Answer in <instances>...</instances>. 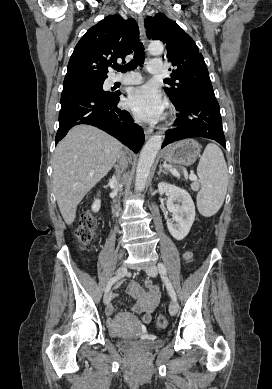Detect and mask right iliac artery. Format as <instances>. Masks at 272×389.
I'll return each mask as SVG.
<instances>
[{"instance_id":"1","label":"right iliac artery","mask_w":272,"mask_h":389,"mask_svg":"<svg viewBox=\"0 0 272 389\" xmlns=\"http://www.w3.org/2000/svg\"><path fill=\"white\" fill-rule=\"evenodd\" d=\"M119 278L118 277H113L109 280V282L107 283L106 285V288H105V293H108L111 289V286L118 280Z\"/></svg>"}]
</instances>
